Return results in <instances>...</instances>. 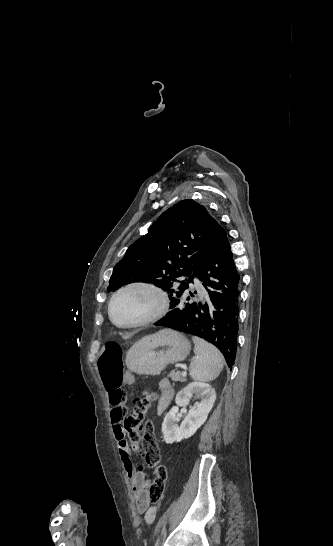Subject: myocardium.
<instances>
[{
    "label": "myocardium",
    "instance_id": "myocardium-1",
    "mask_svg": "<svg viewBox=\"0 0 333 546\" xmlns=\"http://www.w3.org/2000/svg\"><path fill=\"white\" fill-rule=\"evenodd\" d=\"M130 290L148 291L155 297L156 302L152 310L147 315L139 318L138 320L134 322L121 324L114 319L112 314V307L115 301L123 293ZM168 307H169L168 296L166 292L160 286L150 281L137 280V281H132L123 285L112 295L108 303V316L112 324L120 329H135V328H141V327L147 326L149 324H152L160 320L167 313Z\"/></svg>",
    "mask_w": 333,
    "mask_h": 546
}]
</instances>
